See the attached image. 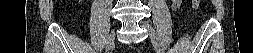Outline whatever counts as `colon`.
<instances>
[{"mask_svg":"<svg viewBox=\"0 0 253 53\" xmlns=\"http://www.w3.org/2000/svg\"><path fill=\"white\" fill-rule=\"evenodd\" d=\"M198 4H199V0H194V1H193V5H194V7H197V6H198Z\"/></svg>","mask_w":253,"mask_h":53,"instance_id":"5ec220e1","label":"colon"}]
</instances>
